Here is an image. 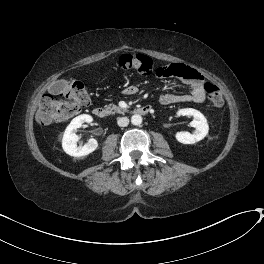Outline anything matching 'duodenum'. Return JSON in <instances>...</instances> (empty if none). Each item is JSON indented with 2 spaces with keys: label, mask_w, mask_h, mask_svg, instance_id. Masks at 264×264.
Masks as SVG:
<instances>
[{
  "label": "duodenum",
  "mask_w": 264,
  "mask_h": 264,
  "mask_svg": "<svg viewBox=\"0 0 264 264\" xmlns=\"http://www.w3.org/2000/svg\"><path fill=\"white\" fill-rule=\"evenodd\" d=\"M152 110V107L149 105H141L138 106L135 109V114L137 115H146L148 114L150 111ZM106 110L105 108L101 107V106H97L94 108V115L98 118H104L106 116Z\"/></svg>",
  "instance_id": "410a0bca"
}]
</instances>
